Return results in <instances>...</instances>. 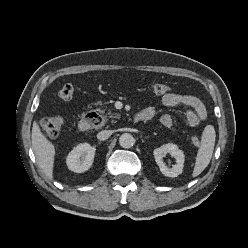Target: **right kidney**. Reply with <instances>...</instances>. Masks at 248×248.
<instances>
[{
  "instance_id": "obj_1",
  "label": "right kidney",
  "mask_w": 248,
  "mask_h": 248,
  "mask_svg": "<svg viewBox=\"0 0 248 248\" xmlns=\"http://www.w3.org/2000/svg\"><path fill=\"white\" fill-rule=\"evenodd\" d=\"M95 151L96 148L89 143L77 145L67 156L68 168L76 173L87 171L93 163Z\"/></svg>"
}]
</instances>
